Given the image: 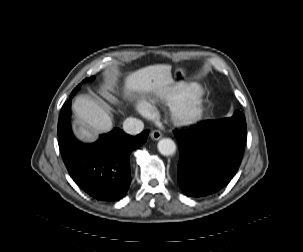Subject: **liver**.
Masks as SVG:
<instances>
[{"label":"liver","instance_id":"obj_1","mask_svg":"<svg viewBox=\"0 0 303 252\" xmlns=\"http://www.w3.org/2000/svg\"><path fill=\"white\" fill-rule=\"evenodd\" d=\"M172 82L170 65H151L127 75L124 94L130 99L136 93L165 94ZM73 109L82 124L77 129V134L81 139L93 140L96 133L108 132L113 127L112 119L105 109L88 97H77L73 103Z\"/></svg>","mask_w":303,"mask_h":252}]
</instances>
